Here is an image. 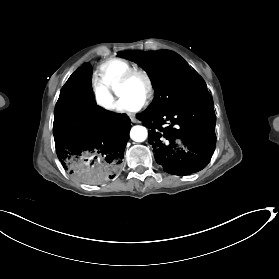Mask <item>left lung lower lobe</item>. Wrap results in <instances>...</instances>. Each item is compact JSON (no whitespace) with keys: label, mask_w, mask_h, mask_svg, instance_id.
<instances>
[{"label":"left lung lower lobe","mask_w":279,"mask_h":279,"mask_svg":"<svg viewBox=\"0 0 279 279\" xmlns=\"http://www.w3.org/2000/svg\"><path fill=\"white\" fill-rule=\"evenodd\" d=\"M137 118L151 129L149 143L154 148L156 162L164 171L189 175L209 163L215 148L216 116L208 90L168 111L143 113Z\"/></svg>","instance_id":"left-lung-lower-lobe-1"}]
</instances>
